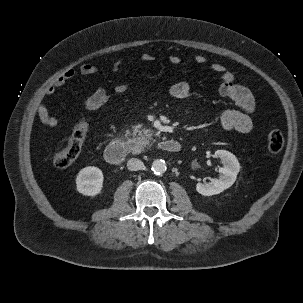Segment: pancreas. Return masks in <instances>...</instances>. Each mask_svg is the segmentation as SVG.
<instances>
[{"instance_id": "pancreas-1", "label": "pancreas", "mask_w": 303, "mask_h": 303, "mask_svg": "<svg viewBox=\"0 0 303 303\" xmlns=\"http://www.w3.org/2000/svg\"><path fill=\"white\" fill-rule=\"evenodd\" d=\"M154 131L151 129H144L141 125L133 126L131 131H126L125 136L129 138V151L136 154L143 151L146 146L152 142Z\"/></svg>"}]
</instances>
